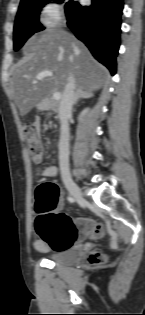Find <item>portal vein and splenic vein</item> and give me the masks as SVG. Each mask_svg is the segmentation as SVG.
I'll list each match as a JSON object with an SVG mask.
<instances>
[{
    "mask_svg": "<svg viewBox=\"0 0 145 315\" xmlns=\"http://www.w3.org/2000/svg\"><path fill=\"white\" fill-rule=\"evenodd\" d=\"M46 77H53V73L51 71H42L36 76V81L42 80L43 78H46ZM53 98L55 100H59L61 98V93L55 92L53 94Z\"/></svg>",
    "mask_w": 145,
    "mask_h": 315,
    "instance_id": "1",
    "label": "portal vein and splenic vein"
}]
</instances>
